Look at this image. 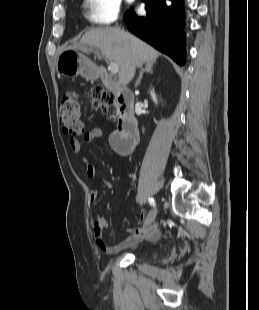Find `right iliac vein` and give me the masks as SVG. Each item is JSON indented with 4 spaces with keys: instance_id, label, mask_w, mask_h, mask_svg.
<instances>
[{
    "instance_id": "obj_1",
    "label": "right iliac vein",
    "mask_w": 259,
    "mask_h": 310,
    "mask_svg": "<svg viewBox=\"0 0 259 310\" xmlns=\"http://www.w3.org/2000/svg\"><path fill=\"white\" fill-rule=\"evenodd\" d=\"M156 215H157V207L154 206L147 216V219L144 223V227L150 225L155 220Z\"/></svg>"
}]
</instances>
